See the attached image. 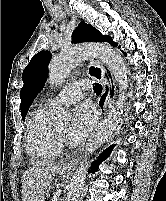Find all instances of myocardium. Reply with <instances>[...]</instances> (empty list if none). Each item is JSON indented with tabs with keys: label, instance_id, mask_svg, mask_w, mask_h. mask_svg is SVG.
I'll list each match as a JSON object with an SVG mask.
<instances>
[{
	"label": "myocardium",
	"instance_id": "1",
	"mask_svg": "<svg viewBox=\"0 0 166 201\" xmlns=\"http://www.w3.org/2000/svg\"><path fill=\"white\" fill-rule=\"evenodd\" d=\"M55 134H56V137L57 139L59 140V142H65L66 141V138H65V135L62 134L60 131H58L57 129H55Z\"/></svg>",
	"mask_w": 166,
	"mask_h": 201
}]
</instances>
